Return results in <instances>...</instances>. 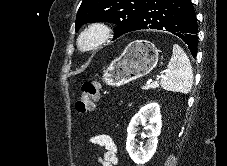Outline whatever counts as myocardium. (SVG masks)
I'll return each instance as SVG.
<instances>
[{"label": "myocardium", "mask_w": 227, "mask_h": 166, "mask_svg": "<svg viewBox=\"0 0 227 166\" xmlns=\"http://www.w3.org/2000/svg\"><path fill=\"white\" fill-rule=\"evenodd\" d=\"M112 30L104 22H92L78 35L76 44L82 51L91 52L102 47L111 37Z\"/></svg>", "instance_id": "1"}]
</instances>
